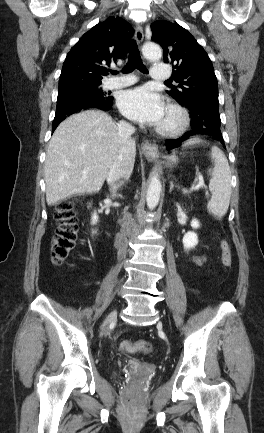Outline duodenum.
Returning a JSON list of instances; mask_svg holds the SVG:
<instances>
[{
    "label": "duodenum",
    "mask_w": 264,
    "mask_h": 433,
    "mask_svg": "<svg viewBox=\"0 0 264 433\" xmlns=\"http://www.w3.org/2000/svg\"><path fill=\"white\" fill-rule=\"evenodd\" d=\"M89 209H90L91 211H94V210H95V203H94L93 201L89 203Z\"/></svg>",
    "instance_id": "1"
}]
</instances>
